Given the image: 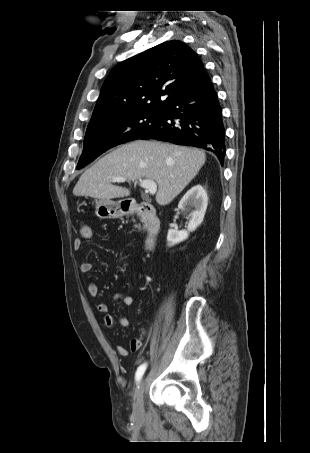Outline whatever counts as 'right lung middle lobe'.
I'll return each mask as SVG.
<instances>
[{
    "label": "right lung middle lobe",
    "mask_w": 310,
    "mask_h": 453,
    "mask_svg": "<svg viewBox=\"0 0 310 453\" xmlns=\"http://www.w3.org/2000/svg\"><path fill=\"white\" fill-rule=\"evenodd\" d=\"M163 110L133 111L89 123L77 169L86 166L107 149L136 140L158 124Z\"/></svg>",
    "instance_id": "1"
}]
</instances>
